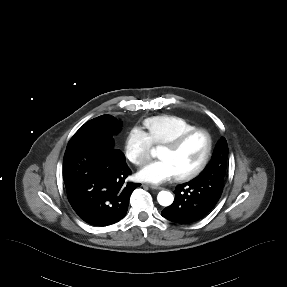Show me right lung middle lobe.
Instances as JSON below:
<instances>
[{
  "mask_svg": "<svg viewBox=\"0 0 287 287\" xmlns=\"http://www.w3.org/2000/svg\"><path fill=\"white\" fill-rule=\"evenodd\" d=\"M121 128L120 122L111 115H102L86 122L70 139L68 146L82 143L103 144L114 148L113 135Z\"/></svg>",
  "mask_w": 287,
  "mask_h": 287,
  "instance_id": "obj_1",
  "label": "right lung middle lobe"
}]
</instances>
